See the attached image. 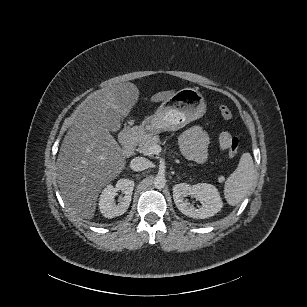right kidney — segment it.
Returning a JSON list of instances; mask_svg holds the SVG:
<instances>
[{"label": "right kidney", "instance_id": "ca27d5eb", "mask_svg": "<svg viewBox=\"0 0 307 307\" xmlns=\"http://www.w3.org/2000/svg\"><path fill=\"white\" fill-rule=\"evenodd\" d=\"M133 189L134 181L129 179L118 180L115 188L112 185H107L99 201V208L103 216L106 218H114L124 214L130 205ZM119 190L124 193V196L119 197V203L116 205L114 197Z\"/></svg>", "mask_w": 307, "mask_h": 307}]
</instances>
